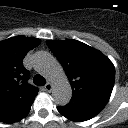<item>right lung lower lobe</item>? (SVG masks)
Returning <instances> with one entry per match:
<instances>
[{
  "label": "right lung lower lobe",
  "instance_id": "98d812e1",
  "mask_svg": "<svg viewBox=\"0 0 128 128\" xmlns=\"http://www.w3.org/2000/svg\"><path fill=\"white\" fill-rule=\"evenodd\" d=\"M33 101H34V99L28 101L26 104H24L22 107H20L18 110H16L12 114H10L4 118H1L0 121L4 122V123H13V122H17V121L21 120L22 118L27 116V114L29 113Z\"/></svg>",
  "mask_w": 128,
  "mask_h": 128
}]
</instances>
